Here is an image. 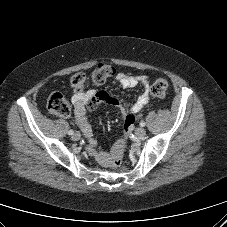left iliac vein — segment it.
<instances>
[{
  "mask_svg": "<svg viewBox=\"0 0 227 227\" xmlns=\"http://www.w3.org/2000/svg\"><path fill=\"white\" fill-rule=\"evenodd\" d=\"M135 134L138 137H144L146 135V131L143 128H138L136 129Z\"/></svg>",
  "mask_w": 227,
  "mask_h": 227,
  "instance_id": "4c4485c4",
  "label": "left iliac vein"
}]
</instances>
